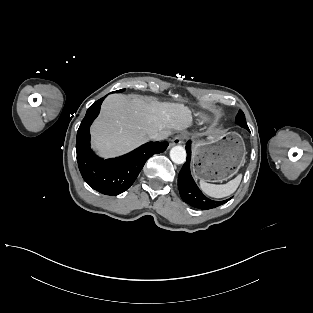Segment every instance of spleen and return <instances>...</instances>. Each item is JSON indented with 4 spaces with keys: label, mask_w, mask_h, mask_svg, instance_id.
I'll return each instance as SVG.
<instances>
[{
    "label": "spleen",
    "mask_w": 313,
    "mask_h": 313,
    "mask_svg": "<svg viewBox=\"0 0 313 313\" xmlns=\"http://www.w3.org/2000/svg\"><path fill=\"white\" fill-rule=\"evenodd\" d=\"M242 179V175L239 174L236 178L230 180L226 184L216 185L200 180L201 190L208 196L214 198H223L231 195L236 191Z\"/></svg>",
    "instance_id": "spleen-1"
}]
</instances>
